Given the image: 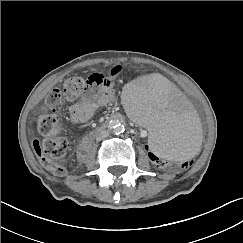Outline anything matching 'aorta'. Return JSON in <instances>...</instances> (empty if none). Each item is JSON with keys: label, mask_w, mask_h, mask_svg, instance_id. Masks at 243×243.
<instances>
[{"label": "aorta", "mask_w": 243, "mask_h": 243, "mask_svg": "<svg viewBox=\"0 0 243 243\" xmlns=\"http://www.w3.org/2000/svg\"><path fill=\"white\" fill-rule=\"evenodd\" d=\"M110 131L114 134H120V133H123L124 130H125V127L124 125L119 121V120H113L111 123H110Z\"/></svg>", "instance_id": "aorta-1"}]
</instances>
